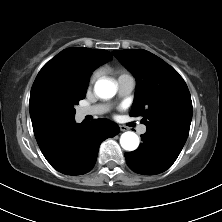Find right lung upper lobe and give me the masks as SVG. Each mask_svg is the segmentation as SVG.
Here are the masks:
<instances>
[{
    "label": "right lung upper lobe",
    "mask_w": 222,
    "mask_h": 222,
    "mask_svg": "<svg viewBox=\"0 0 222 222\" xmlns=\"http://www.w3.org/2000/svg\"><path fill=\"white\" fill-rule=\"evenodd\" d=\"M109 51L88 48H67L47 62L38 73L30 93L29 110L35 138L41 143L63 120L47 117L45 106L51 96L61 95L73 86H88L91 72L112 60Z\"/></svg>",
    "instance_id": "cb5924a9"
}]
</instances>
